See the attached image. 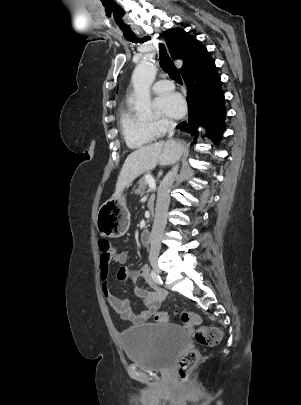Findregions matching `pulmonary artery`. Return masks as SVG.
I'll use <instances>...</instances> for the list:
<instances>
[{"mask_svg": "<svg viewBox=\"0 0 301 405\" xmlns=\"http://www.w3.org/2000/svg\"><path fill=\"white\" fill-rule=\"evenodd\" d=\"M174 89V85L169 80H159L152 86V91L155 93H165Z\"/></svg>", "mask_w": 301, "mask_h": 405, "instance_id": "1", "label": "pulmonary artery"}]
</instances>
